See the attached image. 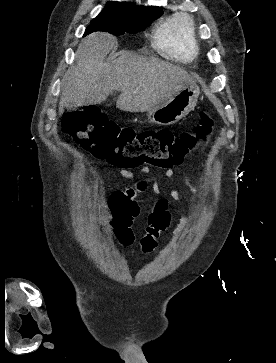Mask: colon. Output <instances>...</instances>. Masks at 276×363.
I'll return each mask as SVG.
<instances>
[{
    "label": "colon",
    "mask_w": 276,
    "mask_h": 363,
    "mask_svg": "<svg viewBox=\"0 0 276 363\" xmlns=\"http://www.w3.org/2000/svg\"><path fill=\"white\" fill-rule=\"evenodd\" d=\"M213 127L214 121L206 111L200 112L199 119L191 130L178 135L168 129L139 133L128 128L121 129L109 122L106 116L95 108L71 112L63 121L64 130L84 149L97 158L122 167L148 164L171 168L180 165L191 150L207 142ZM112 210L114 223L122 227V243L131 244L134 236L130 229L126 228V216L119 209ZM151 225L153 228L162 229L166 223L152 217ZM140 244L145 253H150L156 245L153 233L144 234Z\"/></svg>",
    "instance_id": "colon-1"
}]
</instances>
